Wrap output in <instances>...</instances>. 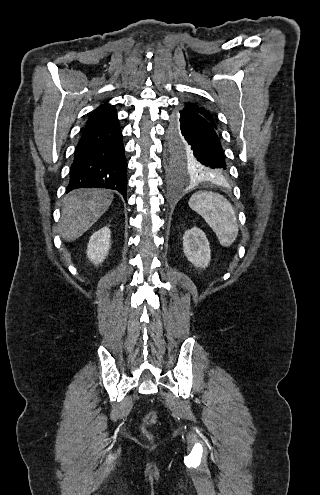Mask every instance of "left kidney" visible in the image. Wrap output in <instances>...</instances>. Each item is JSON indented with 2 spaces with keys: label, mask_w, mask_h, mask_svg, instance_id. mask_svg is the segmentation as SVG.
<instances>
[{
  "label": "left kidney",
  "mask_w": 320,
  "mask_h": 495,
  "mask_svg": "<svg viewBox=\"0 0 320 495\" xmlns=\"http://www.w3.org/2000/svg\"><path fill=\"white\" fill-rule=\"evenodd\" d=\"M183 251L187 259L196 267L206 268L210 262V246L206 235L194 227L183 236Z\"/></svg>",
  "instance_id": "left-kidney-1"
}]
</instances>
